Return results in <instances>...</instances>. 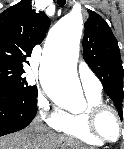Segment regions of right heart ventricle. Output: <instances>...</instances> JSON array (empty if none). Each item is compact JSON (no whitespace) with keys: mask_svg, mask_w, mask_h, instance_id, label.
Here are the masks:
<instances>
[{"mask_svg":"<svg viewBox=\"0 0 124 149\" xmlns=\"http://www.w3.org/2000/svg\"><path fill=\"white\" fill-rule=\"evenodd\" d=\"M88 106L103 103L101 93L86 92ZM68 137L84 144L101 147L104 143L95 138L89 131L86 110L79 113H66L63 124L57 129Z\"/></svg>","mask_w":124,"mask_h":149,"instance_id":"1","label":"right heart ventricle"}]
</instances>
